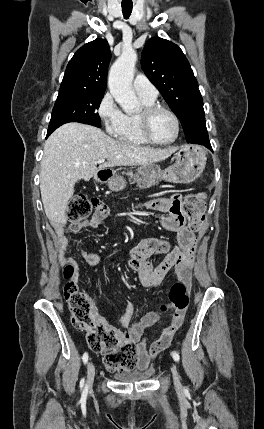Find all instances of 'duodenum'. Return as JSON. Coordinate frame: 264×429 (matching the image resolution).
Listing matches in <instances>:
<instances>
[{"label":"duodenum","mask_w":264,"mask_h":429,"mask_svg":"<svg viewBox=\"0 0 264 429\" xmlns=\"http://www.w3.org/2000/svg\"><path fill=\"white\" fill-rule=\"evenodd\" d=\"M95 178H96L97 180H100V179L102 178V175H101V174H97V175L95 176Z\"/></svg>","instance_id":"duodenum-1"}]
</instances>
